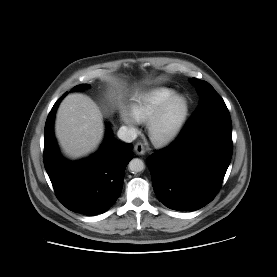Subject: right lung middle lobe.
Wrapping results in <instances>:
<instances>
[{"label": "right lung middle lobe", "instance_id": "right-lung-middle-lobe-1", "mask_svg": "<svg viewBox=\"0 0 277 277\" xmlns=\"http://www.w3.org/2000/svg\"><path fill=\"white\" fill-rule=\"evenodd\" d=\"M88 87H89V85H87V84H81V85L75 86L72 90L85 89V88H88ZM66 94H67V92L64 93L63 95L65 96Z\"/></svg>", "mask_w": 277, "mask_h": 277}]
</instances>
